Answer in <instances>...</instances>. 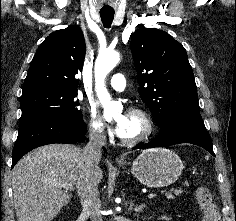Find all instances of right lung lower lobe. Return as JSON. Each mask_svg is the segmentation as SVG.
Segmentation results:
<instances>
[{"instance_id":"right-lung-lower-lobe-1","label":"right lung lower lobe","mask_w":236,"mask_h":221,"mask_svg":"<svg viewBox=\"0 0 236 221\" xmlns=\"http://www.w3.org/2000/svg\"><path fill=\"white\" fill-rule=\"evenodd\" d=\"M86 131L82 117L56 113H36L21 117L11 168L34 148L53 143H75L84 137Z\"/></svg>"}]
</instances>
